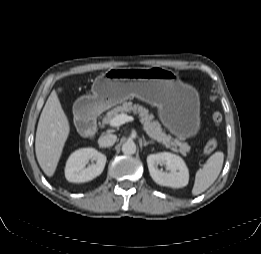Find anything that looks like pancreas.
<instances>
[{"label":"pancreas","mask_w":261,"mask_h":254,"mask_svg":"<svg viewBox=\"0 0 261 254\" xmlns=\"http://www.w3.org/2000/svg\"><path fill=\"white\" fill-rule=\"evenodd\" d=\"M130 112L139 116L140 121L143 124L144 131L151 139L164 144L168 148L171 147L173 151L180 152L184 156L190 151V146L188 143L172 141L171 136L166 135V133L162 130L159 122L154 120V115L152 113H149V111L143 106L133 104L132 102H124L122 105L108 111L102 122L104 124H109L110 120L115 116ZM177 146L179 148H177Z\"/></svg>","instance_id":"pancreas-1"}]
</instances>
